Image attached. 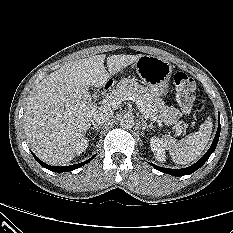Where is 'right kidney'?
<instances>
[{"mask_svg": "<svg viewBox=\"0 0 233 233\" xmlns=\"http://www.w3.org/2000/svg\"><path fill=\"white\" fill-rule=\"evenodd\" d=\"M88 141L89 140L86 137L80 139L75 149L77 155H80L83 151L87 149L89 145Z\"/></svg>", "mask_w": 233, "mask_h": 233, "instance_id": "right-kidney-1", "label": "right kidney"}]
</instances>
